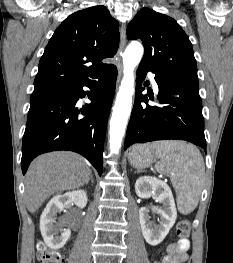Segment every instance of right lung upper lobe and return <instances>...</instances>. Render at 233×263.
Returning a JSON list of instances; mask_svg holds the SVG:
<instances>
[{
    "label": "right lung upper lobe",
    "mask_w": 233,
    "mask_h": 263,
    "mask_svg": "<svg viewBox=\"0 0 233 263\" xmlns=\"http://www.w3.org/2000/svg\"><path fill=\"white\" fill-rule=\"evenodd\" d=\"M119 45L118 22L108 9L93 6L67 17L55 30L39 62L34 92L58 88L95 77Z\"/></svg>",
    "instance_id": "obj_1"
}]
</instances>
